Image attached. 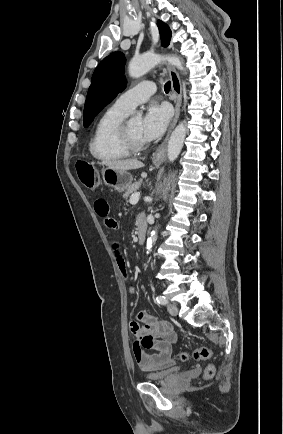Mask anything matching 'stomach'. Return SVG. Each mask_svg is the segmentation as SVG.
I'll return each mask as SVG.
<instances>
[{
	"label": "stomach",
	"instance_id": "0dacf381",
	"mask_svg": "<svg viewBox=\"0 0 283 434\" xmlns=\"http://www.w3.org/2000/svg\"><path fill=\"white\" fill-rule=\"evenodd\" d=\"M153 162L155 165H159L161 161L154 159ZM102 174L104 175V183L120 193L126 191L133 181V177L128 171L114 170L107 167L104 169Z\"/></svg>",
	"mask_w": 283,
	"mask_h": 434
}]
</instances>
